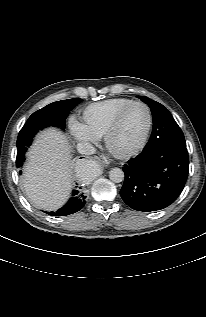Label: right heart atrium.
Instances as JSON below:
<instances>
[{
  "mask_svg": "<svg viewBox=\"0 0 206 317\" xmlns=\"http://www.w3.org/2000/svg\"><path fill=\"white\" fill-rule=\"evenodd\" d=\"M70 132L77 141H93L95 140L89 132L78 122H71Z\"/></svg>",
  "mask_w": 206,
  "mask_h": 317,
  "instance_id": "obj_1",
  "label": "right heart atrium"
}]
</instances>
